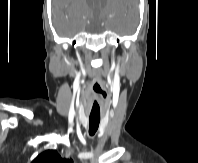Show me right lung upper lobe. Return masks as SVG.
Instances as JSON below:
<instances>
[{
  "label": "right lung upper lobe",
  "instance_id": "obj_1",
  "mask_svg": "<svg viewBox=\"0 0 198 163\" xmlns=\"http://www.w3.org/2000/svg\"><path fill=\"white\" fill-rule=\"evenodd\" d=\"M31 163H72L63 159L56 150H46L39 154Z\"/></svg>",
  "mask_w": 198,
  "mask_h": 163
}]
</instances>
